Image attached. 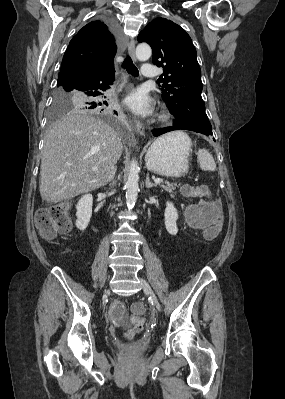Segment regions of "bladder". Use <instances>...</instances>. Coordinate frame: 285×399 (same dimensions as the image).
<instances>
[{"instance_id":"31cf9c89","label":"bladder","mask_w":285,"mask_h":399,"mask_svg":"<svg viewBox=\"0 0 285 399\" xmlns=\"http://www.w3.org/2000/svg\"><path fill=\"white\" fill-rule=\"evenodd\" d=\"M147 347H148V344H145V345L141 344V345L136 347L135 351L137 353H142V352H144L147 349Z\"/></svg>"}]
</instances>
